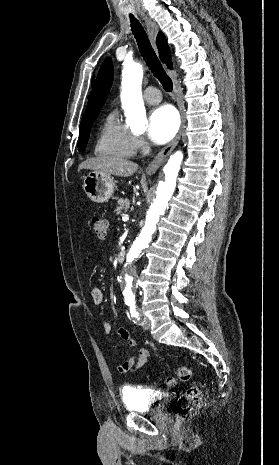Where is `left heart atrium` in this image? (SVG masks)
<instances>
[{
	"label": "left heart atrium",
	"mask_w": 279,
	"mask_h": 465,
	"mask_svg": "<svg viewBox=\"0 0 279 465\" xmlns=\"http://www.w3.org/2000/svg\"><path fill=\"white\" fill-rule=\"evenodd\" d=\"M179 127V119L176 111L169 105L155 108L148 119L147 135L157 144L170 141Z\"/></svg>",
	"instance_id": "obj_1"
}]
</instances>
